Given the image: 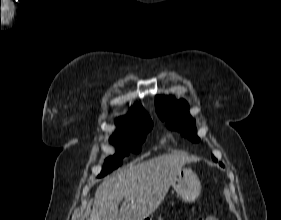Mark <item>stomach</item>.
<instances>
[{
	"instance_id": "1",
	"label": "stomach",
	"mask_w": 281,
	"mask_h": 220,
	"mask_svg": "<svg viewBox=\"0 0 281 220\" xmlns=\"http://www.w3.org/2000/svg\"><path fill=\"white\" fill-rule=\"evenodd\" d=\"M172 186L185 202H194L200 194L201 183L194 171L183 168L174 177Z\"/></svg>"
}]
</instances>
